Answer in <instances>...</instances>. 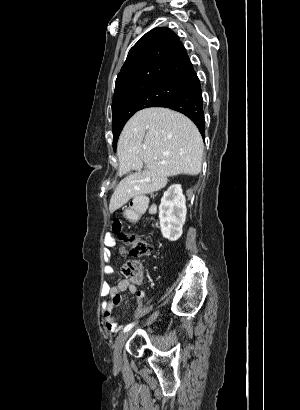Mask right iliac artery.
Returning a JSON list of instances; mask_svg holds the SVG:
<instances>
[{"label":"right iliac artery","instance_id":"1","mask_svg":"<svg viewBox=\"0 0 300 410\" xmlns=\"http://www.w3.org/2000/svg\"><path fill=\"white\" fill-rule=\"evenodd\" d=\"M134 326V323L128 324L125 328H124V332L129 331L132 327Z\"/></svg>","mask_w":300,"mask_h":410}]
</instances>
